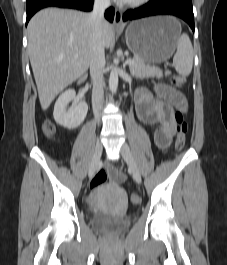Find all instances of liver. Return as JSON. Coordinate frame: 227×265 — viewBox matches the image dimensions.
Segmentation results:
<instances>
[{
  "label": "liver",
  "instance_id": "obj_1",
  "mask_svg": "<svg viewBox=\"0 0 227 265\" xmlns=\"http://www.w3.org/2000/svg\"><path fill=\"white\" fill-rule=\"evenodd\" d=\"M90 14L47 8L28 23V53L42 110L68 85L86 73L92 51ZM104 47H110L113 26L102 24Z\"/></svg>",
  "mask_w": 227,
  "mask_h": 265
}]
</instances>
